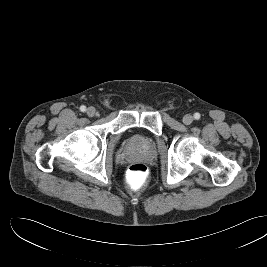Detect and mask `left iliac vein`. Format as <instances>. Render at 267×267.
Returning <instances> with one entry per match:
<instances>
[{"label": "left iliac vein", "instance_id": "1", "mask_svg": "<svg viewBox=\"0 0 267 267\" xmlns=\"http://www.w3.org/2000/svg\"><path fill=\"white\" fill-rule=\"evenodd\" d=\"M192 122H193V117H192V115H190V114H186V115L183 117V123H184V124H186V125H190Z\"/></svg>", "mask_w": 267, "mask_h": 267}]
</instances>
